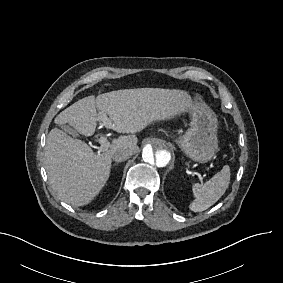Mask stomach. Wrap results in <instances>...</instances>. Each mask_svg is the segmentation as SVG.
<instances>
[{
	"label": "stomach",
	"mask_w": 283,
	"mask_h": 283,
	"mask_svg": "<svg viewBox=\"0 0 283 283\" xmlns=\"http://www.w3.org/2000/svg\"><path fill=\"white\" fill-rule=\"evenodd\" d=\"M192 122L185 134L175 137L181 152L194 162L207 163L219 151L215 114L201 101L191 111Z\"/></svg>",
	"instance_id": "obj_1"
}]
</instances>
